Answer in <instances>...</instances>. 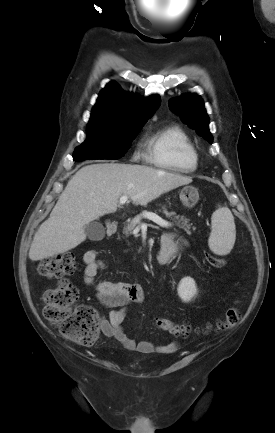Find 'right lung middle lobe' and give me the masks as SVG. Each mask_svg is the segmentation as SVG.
Returning a JSON list of instances; mask_svg holds the SVG:
<instances>
[{"mask_svg":"<svg viewBox=\"0 0 275 433\" xmlns=\"http://www.w3.org/2000/svg\"><path fill=\"white\" fill-rule=\"evenodd\" d=\"M145 123L114 125L89 122L87 138L75 149L73 159L77 162L89 159H119L127 152Z\"/></svg>","mask_w":275,"mask_h":433,"instance_id":"obj_1","label":"right lung middle lobe"}]
</instances>
